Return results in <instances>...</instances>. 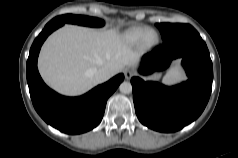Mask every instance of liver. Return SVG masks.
I'll return each instance as SVG.
<instances>
[{"instance_id":"liver-1","label":"liver","mask_w":238,"mask_h":158,"mask_svg":"<svg viewBox=\"0 0 238 158\" xmlns=\"http://www.w3.org/2000/svg\"><path fill=\"white\" fill-rule=\"evenodd\" d=\"M139 56L116 29L66 25L44 43L38 68L53 89L79 95L98 84L91 69L107 68L112 77L125 66H136Z\"/></svg>"}]
</instances>
